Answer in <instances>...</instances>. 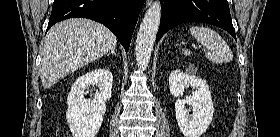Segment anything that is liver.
<instances>
[{"instance_id": "6515ba94", "label": "liver", "mask_w": 280, "mask_h": 137, "mask_svg": "<svg viewBox=\"0 0 280 137\" xmlns=\"http://www.w3.org/2000/svg\"><path fill=\"white\" fill-rule=\"evenodd\" d=\"M117 43L116 36L102 24L88 19H68L55 24L42 48L40 77L50 88L66 75L95 61Z\"/></svg>"}]
</instances>
